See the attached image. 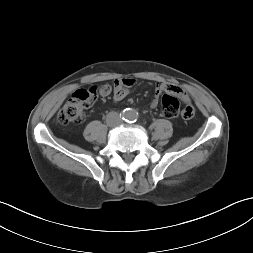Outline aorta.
Wrapping results in <instances>:
<instances>
[{"label": "aorta", "instance_id": "762f6f07", "mask_svg": "<svg viewBox=\"0 0 253 253\" xmlns=\"http://www.w3.org/2000/svg\"><path fill=\"white\" fill-rule=\"evenodd\" d=\"M124 117L127 119V120H135L137 119L138 117V113L136 110L134 109H127L125 112H124Z\"/></svg>", "mask_w": 253, "mask_h": 253}]
</instances>
